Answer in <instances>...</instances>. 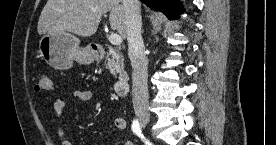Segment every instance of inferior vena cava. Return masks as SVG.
<instances>
[{
	"instance_id": "inferior-vena-cava-1",
	"label": "inferior vena cava",
	"mask_w": 276,
	"mask_h": 145,
	"mask_svg": "<svg viewBox=\"0 0 276 145\" xmlns=\"http://www.w3.org/2000/svg\"><path fill=\"white\" fill-rule=\"evenodd\" d=\"M126 9L128 55L132 65L133 107L137 116H148V59L141 35L142 19L139 0H123Z\"/></svg>"
}]
</instances>
